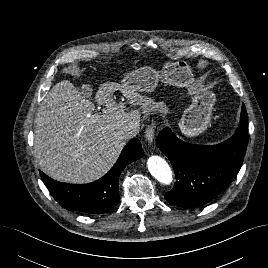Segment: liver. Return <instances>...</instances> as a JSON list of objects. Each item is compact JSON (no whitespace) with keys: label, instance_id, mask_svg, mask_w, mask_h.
I'll list each match as a JSON object with an SVG mask.
<instances>
[{"label":"liver","instance_id":"6515ba94","mask_svg":"<svg viewBox=\"0 0 268 268\" xmlns=\"http://www.w3.org/2000/svg\"><path fill=\"white\" fill-rule=\"evenodd\" d=\"M120 89L132 109L113 100ZM103 113L68 80L52 87L39 105L35 118L34 156L41 170L67 183H90L107 173L116 162L125 139L115 133L139 125L144 108L154 106L151 98L116 83L101 84L96 93Z\"/></svg>","mask_w":268,"mask_h":268}]
</instances>
